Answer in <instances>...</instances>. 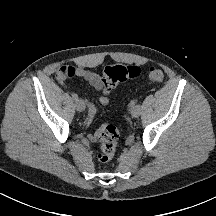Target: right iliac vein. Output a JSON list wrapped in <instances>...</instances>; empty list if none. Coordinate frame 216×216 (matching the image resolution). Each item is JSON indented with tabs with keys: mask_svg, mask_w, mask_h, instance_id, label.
<instances>
[{
	"mask_svg": "<svg viewBox=\"0 0 216 216\" xmlns=\"http://www.w3.org/2000/svg\"><path fill=\"white\" fill-rule=\"evenodd\" d=\"M75 107H76V109L78 110V111H84L85 110V103H84V101L83 100H81V99H78V100H76L75 101Z\"/></svg>",
	"mask_w": 216,
	"mask_h": 216,
	"instance_id": "right-iliac-vein-1",
	"label": "right iliac vein"
}]
</instances>
